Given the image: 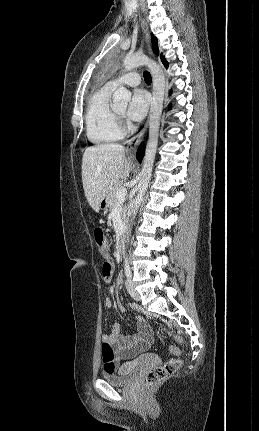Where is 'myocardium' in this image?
Masks as SVG:
<instances>
[{"label":"myocardium","mask_w":259,"mask_h":431,"mask_svg":"<svg viewBox=\"0 0 259 431\" xmlns=\"http://www.w3.org/2000/svg\"><path fill=\"white\" fill-rule=\"evenodd\" d=\"M115 114H116L118 124H119L121 131H125L127 129V125L123 121L122 113L115 110Z\"/></svg>","instance_id":"myocardium-1"}]
</instances>
